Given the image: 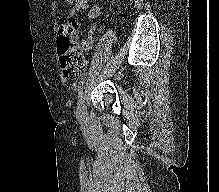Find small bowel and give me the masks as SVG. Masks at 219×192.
<instances>
[{"instance_id":"c3829d8e","label":"small bowel","mask_w":219,"mask_h":192,"mask_svg":"<svg viewBox=\"0 0 219 192\" xmlns=\"http://www.w3.org/2000/svg\"><path fill=\"white\" fill-rule=\"evenodd\" d=\"M73 11L85 13L90 21L95 20L101 14L100 7L91 4L90 0H76ZM96 29L97 23L94 22L87 31V39L83 42V49L86 52H89L92 49Z\"/></svg>"}]
</instances>
